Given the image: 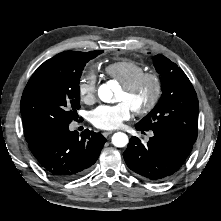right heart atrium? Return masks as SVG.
<instances>
[{"instance_id":"obj_1","label":"right heart atrium","mask_w":221,"mask_h":221,"mask_svg":"<svg viewBox=\"0 0 221 221\" xmlns=\"http://www.w3.org/2000/svg\"><path fill=\"white\" fill-rule=\"evenodd\" d=\"M78 94L85 103H91L96 98L97 76L94 71L83 73L78 80Z\"/></svg>"}]
</instances>
